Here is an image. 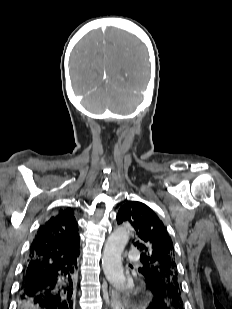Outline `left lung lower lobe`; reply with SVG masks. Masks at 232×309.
<instances>
[{
    "label": "left lung lower lobe",
    "mask_w": 232,
    "mask_h": 309,
    "mask_svg": "<svg viewBox=\"0 0 232 309\" xmlns=\"http://www.w3.org/2000/svg\"><path fill=\"white\" fill-rule=\"evenodd\" d=\"M146 286L153 294L152 300L147 309H182L183 304L167 301L150 283L146 282Z\"/></svg>",
    "instance_id": "0a47b994"
}]
</instances>
